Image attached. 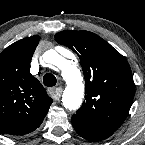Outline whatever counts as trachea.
Instances as JSON below:
<instances>
[{"label":"trachea","instance_id":"trachea-1","mask_svg":"<svg viewBox=\"0 0 145 145\" xmlns=\"http://www.w3.org/2000/svg\"><path fill=\"white\" fill-rule=\"evenodd\" d=\"M56 82H57L56 77L53 74H51V73H47L43 77V83L47 87L55 86Z\"/></svg>","mask_w":145,"mask_h":145}]
</instances>
